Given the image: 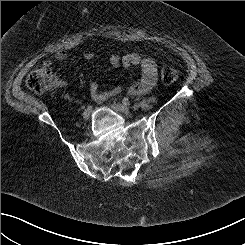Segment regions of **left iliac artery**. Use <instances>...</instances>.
I'll use <instances>...</instances> for the list:
<instances>
[{
    "label": "left iliac artery",
    "mask_w": 245,
    "mask_h": 245,
    "mask_svg": "<svg viewBox=\"0 0 245 245\" xmlns=\"http://www.w3.org/2000/svg\"><path fill=\"white\" fill-rule=\"evenodd\" d=\"M122 102H123L124 105H129L130 104V100L127 97L123 98Z\"/></svg>",
    "instance_id": "obj_1"
}]
</instances>
